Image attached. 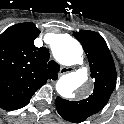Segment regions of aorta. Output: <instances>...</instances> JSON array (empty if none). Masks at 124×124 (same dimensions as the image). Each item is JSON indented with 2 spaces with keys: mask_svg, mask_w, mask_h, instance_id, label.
Here are the masks:
<instances>
[{
  "mask_svg": "<svg viewBox=\"0 0 124 124\" xmlns=\"http://www.w3.org/2000/svg\"><path fill=\"white\" fill-rule=\"evenodd\" d=\"M55 59L63 65L82 63V47L80 43L67 34H60L52 45ZM88 79L86 68L61 76L56 83L57 93L64 98H73L78 90Z\"/></svg>",
  "mask_w": 124,
  "mask_h": 124,
  "instance_id": "aorta-1",
  "label": "aorta"
}]
</instances>
